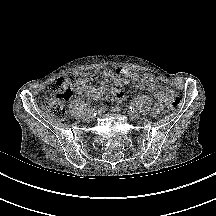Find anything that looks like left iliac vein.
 Returning a JSON list of instances; mask_svg holds the SVG:
<instances>
[{
  "label": "left iliac vein",
  "mask_w": 216,
  "mask_h": 216,
  "mask_svg": "<svg viewBox=\"0 0 216 216\" xmlns=\"http://www.w3.org/2000/svg\"><path fill=\"white\" fill-rule=\"evenodd\" d=\"M128 114L134 120H137L140 118V114L137 111H129Z\"/></svg>",
  "instance_id": "1"
}]
</instances>
